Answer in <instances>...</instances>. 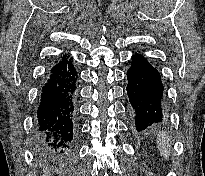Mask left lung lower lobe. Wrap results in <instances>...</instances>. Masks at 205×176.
Masks as SVG:
<instances>
[{
    "mask_svg": "<svg viewBox=\"0 0 205 176\" xmlns=\"http://www.w3.org/2000/svg\"><path fill=\"white\" fill-rule=\"evenodd\" d=\"M127 94L137 131L146 129L165 117L164 86L160 73L143 56L135 54L127 71Z\"/></svg>",
    "mask_w": 205,
    "mask_h": 176,
    "instance_id": "obj_1",
    "label": "left lung lower lobe"
}]
</instances>
